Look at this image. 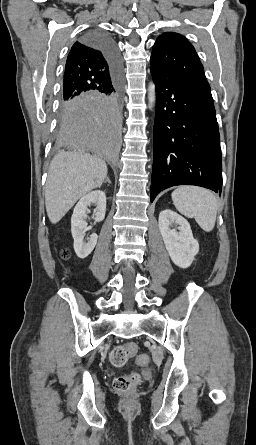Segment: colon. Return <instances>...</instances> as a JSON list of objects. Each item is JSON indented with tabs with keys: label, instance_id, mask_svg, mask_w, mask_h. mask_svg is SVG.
Segmentation results:
<instances>
[{
	"label": "colon",
	"instance_id": "obj_1",
	"mask_svg": "<svg viewBox=\"0 0 256 445\" xmlns=\"http://www.w3.org/2000/svg\"><path fill=\"white\" fill-rule=\"evenodd\" d=\"M63 255L67 256V251H63ZM137 353V346L134 343H125L116 346L110 354V362L114 366L121 367ZM140 383V377L136 373L121 375L115 378L114 388L121 393H133L136 391Z\"/></svg>",
	"mask_w": 256,
	"mask_h": 445
}]
</instances>
